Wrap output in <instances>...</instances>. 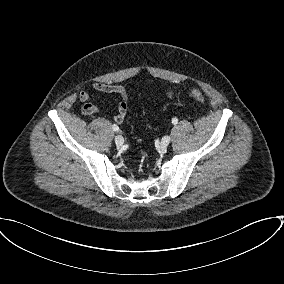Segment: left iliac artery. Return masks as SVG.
<instances>
[{
    "instance_id": "1",
    "label": "left iliac artery",
    "mask_w": 284,
    "mask_h": 284,
    "mask_svg": "<svg viewBox=\"0 0 284 284\" xmlns=\"http://www.w3.org/2000/svg\"><path fill=\"white\" fill-rule=\"evenodd\" d=\"M172 123L175 125V124H177L178 123V119L177 118H173L172 119Z\"/></svg>"
}]
</instances>
